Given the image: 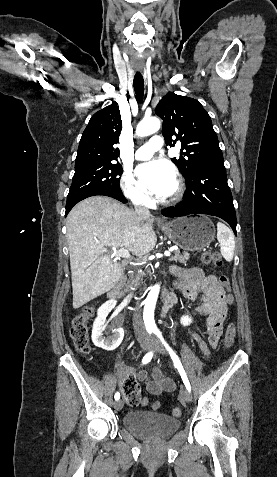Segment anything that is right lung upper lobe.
Returning a JSON list of instances; mask_svg holds the SVG:
<instances>
[{
	"label": "right lung upper lobe",
	"instance_id": "obj_1",
	"mask_svg": "<svg viewBox=\"0 0 277 477\" xmlns=\"http://www.w3.org/2000/svg\"><path fill=\"white\" fill-rule=\"evenodd\" d=\"M121 130L122 121L116 104L96 112L82 134L75 167L117 161L119 149L114 145L119 141Z\"/></svg>",
	"mask_w": 277,
	"mask_h": 477
}]
</instances>
